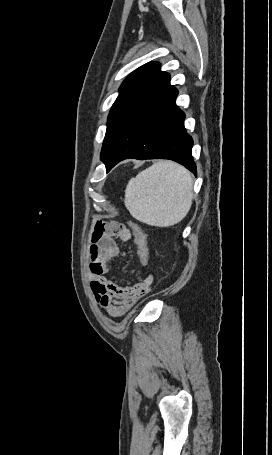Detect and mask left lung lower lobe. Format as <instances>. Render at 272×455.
<instances>
[{
  "instance_id": "0a47b994",
  "label": "left lung lower lobe",
  "mask_w": 272,
  "mask_h": 455,
  "mask_svg": "<svg viewBox=\"0 0 272 455\" xmlns=\"http://www.w3.org/2000/svg\"><path fill=\"white\" fill-rule=\"evenodd\" d=\"M177 95L169 85L136 113L103 159L107 172L127 158L170 159L197 175L193 140L184 128L185 114L176 106Z\"/></svg>"
}]
</instances>
